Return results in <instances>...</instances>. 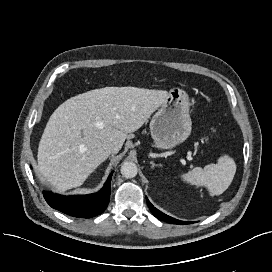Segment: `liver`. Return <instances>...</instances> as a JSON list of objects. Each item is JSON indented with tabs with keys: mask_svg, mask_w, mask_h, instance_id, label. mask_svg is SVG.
<instances>
[{
	"mask_svg": "<svg viewBox=\"0 0 272 272\" xmlns=\"http://www.w3.org/2000/svg\"><path fill=\"white\" fill-rule=\"evenodd\" d=\"M168 95L164 90L105 87L66 100L42 134L40 175L60 191L80 186L109 157L103 145L113 142L119 151L127 134L137 131Z\"/></svg>",
	"mask_w": 272,
	"mask_h": 272,
	"instance_id": "obj_1",
	"label": "liver"
}]
</instances>
